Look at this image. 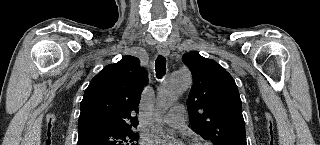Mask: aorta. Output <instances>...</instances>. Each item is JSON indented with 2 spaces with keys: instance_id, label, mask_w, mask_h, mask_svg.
<instances>
[{
  "instance_id": "1",
  "label": "aorta",
  "mask_w": 320,
  "mask_h": 145,
  "mask_svg": "<svg viewBox=\"0 0 320 145\" xmlns=\"http://www.w3.org/2000/svg\"><path fill=\"white\" fill-rule=\"evenodd\" d=\"M191 83L192 79L189 73H171L159 90L155 106L156 112H166L177 101L178 97L191 86ZM153 137L159 145L164 144L168 139L164 130L159 127L153 129Z\"/></svg>"
}]
</instances>
